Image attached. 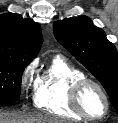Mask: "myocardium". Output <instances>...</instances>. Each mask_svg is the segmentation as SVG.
Listing matches in <instances>:
<instances>
[{
	"instance_id": "f54148a6",
	"label": "myocardium",
	"mask_w": 118,
	"mask_h": 123,
	"mask_svg": "<svg viewBox=\"0 0 118 123\" xmlns=\"http://www.w3.org/2000/svg\"><path fill=\"white\" fill-rule=\"evenodd\" d=\"M95 87L102 95L105 102V111L99 116L89 114L82 105V95L86 87ZM70 103L73 110L86 120L96 121L105 118L110 111V100L105 88L97 81L90 78H82L75 81L70 89Z\"/></svg>"
}]
</instances>
